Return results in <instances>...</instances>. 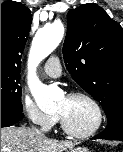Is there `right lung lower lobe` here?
Returning <instances> with one entry per match:
<instances>
[{
    "mask_svg": "<svg viewBox=\"0 0 123 152\" xmlns=\"http://www.w3.org/2000/svg\"><path fill=\"white\" fill-rule=\"evenodd\" d=\"M23 119L22 112L1 109V127H9Z\"/></svg>",
    "mask_w": 123,
    "mask_h": 152,
    "instance_id": "right-lung-lower-lobe-1",
    "label": "right lung lower lobe"
}]
</instances>
